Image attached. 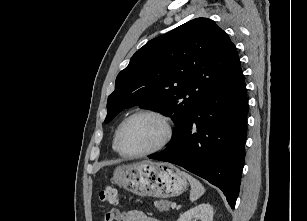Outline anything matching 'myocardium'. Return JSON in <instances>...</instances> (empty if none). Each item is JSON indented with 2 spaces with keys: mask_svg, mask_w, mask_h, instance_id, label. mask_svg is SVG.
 Here are the masks:
<instances>
[{
  "mask_svg": "<svg viewBox=\"0 0 307 221\" xmlns=\"http://www.w3.org/2000/svg\"><path fill=\"white\" fill-rule=\"evenodd\" d=\"M152 116L156 119H158L164 128V134L162 139L159 141V143L157 145H155L153 148L145 151V152H141V153H135V154H131V153H127L123 150L122 148V136L123 133L127 127V125L135 118L139 117V116ZM174 134V126L173 123L170 119V117H168L166 114L154 110V109H143V110H139L136 111L135 113L131 114L130 116H128L121 124L117 135H116V150L117 152H119L120 155H122L125 158H129V159H136V158H142V157H146L149 155H152L160 150H162L172 139Z\"/></svg>",
  "mask_w": 307,
  "mask_h": 221,
  "instance_id": "f54148a6",
  "label": "myocardium"
}]
</instances>
